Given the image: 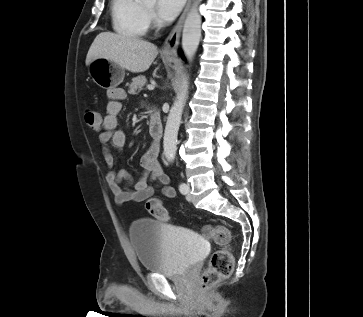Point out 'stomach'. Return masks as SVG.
I'll use <instances>...</instances> for the list:
<instances>
[{
	"mask_svg": "<svg viewBox=\"0 0 363 317\" xmlns=\"http://www.w3.org/2000/svg\"><path fill=\"white\" fill-rule=\"evenodd\" d=\"M167 63L173 61L172 57H163ZM88 74L101 88L113 89L124 79L125 70L118 64L105 58L94 59L88 67Z\"/></svg>",
	"mask_w": 363,
	"mask_h": 317,
	"instance_id": "1",
	"label": "stomach"
}]
</instances>
